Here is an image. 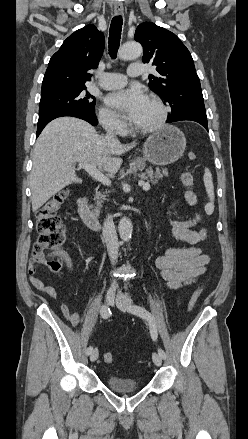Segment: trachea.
<instances>
[{"label":"trachea","instance_id":"1","mask_svg":"<svg viewBox=\"0 0 248 439\" xmlns=\"http://www.w3.org/2000/svg\"><path fill=\"white\" fill-rule=\"evenodd\" d=\"M122 25L123 19L121 15L115 16L111 21L108 47L109 55L112 59L116 58V54L120 45Z\"/></svg>","mask_w":248,"mask_h":439}]
</instances>
